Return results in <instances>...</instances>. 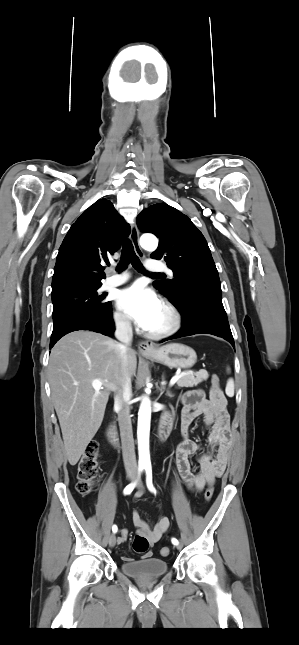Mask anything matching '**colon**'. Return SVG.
<instances>
[{
    "label": "colon",
    "instance_id": "5ec220e1",
    "mask_svg": "<svg viewBox=\"0 0 299 645\" xmlns=\"http://www.w3.org/2000/svg\"><path fill=\"white\" fill-rule=\"evenodd\" d=\"M211 387L214 391L220 390V380L216 374L212 375L211 378ZM97 458H98V446L95 442L88 444L85 448L77 467V491L82 495H88L93 490V487L96 483L98 469H97ZM213 496V487L209 486L204 493L206 501H210ZM133 550L136 553L144 554L148 551L149 543L148 540L141 536L136 535L133 540ZM162 556H168L170 554L169 547H163L161 549Z\"/></svg>",
    "mask_w": 299,
    "mask_h": 645
}]
</instances>
